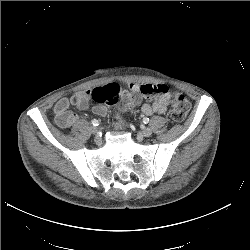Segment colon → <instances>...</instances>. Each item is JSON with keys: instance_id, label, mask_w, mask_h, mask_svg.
Here are the masks:
<instances>
[{"instance_id": "5ec220e1", "label": "colon", "mask_w": 250, "mask_h": 250, "mask_svg": "<svg viewBox=\"0 0 250 250\" xmlns=\"http://www.w3.org/2000/svg\"><path fill=\"white\" fill-rule=\"evenodd\" d=\"M142 94L136 91L122 90L115 83L97 87L92 90V99L101 104L115 106L120 111L132 110L141 100ZM190 110V103L182 93H175L171 99L170 116L175 121H183ZM117 125H121L119 118L115 119Z\"/></svg>"}]
</instances>
